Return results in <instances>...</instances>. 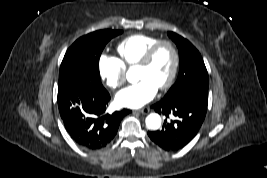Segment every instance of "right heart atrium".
I'll return each mask as SVG.
<instances>
[{
  "instance_id": "d8ad5b80",
  "label": "right heart atrium",
  "mask_w": 267,
  "mask_h": 178,
  "mask_svg": "<svg viewBox=\"0 0 267 178\" xmlns=\"http://www.w3.org/2000/svg\"><path fill=\"white\" fill-rule=\"evenodd\" d=\"M99 73L105 84L117 89L125 81V67L116 57L102 54L98 62Z\"/></svg>"
}]
</instances>
